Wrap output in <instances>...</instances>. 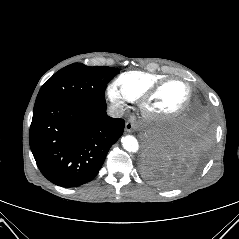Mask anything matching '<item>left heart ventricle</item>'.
Here are the masks:
<instances>
[{
	"instance_id": "left-heart-ventricle-1",
	"label": "left heart ventricle",
	"mask_w": 239,
	"mask_h": 239,
	"mask_svg": "<svg viewBox=\"0 0 239 239\" xmlns=\"http://www.w3.org/2000/svg\"><path fill=\"white\" fill-rule=\"evenodd\" d=\"M187 96V88L181 82L167 85L151 102L150 108L155 112L170 113L178 109Z\"/></svg>"
}]
</instances>
